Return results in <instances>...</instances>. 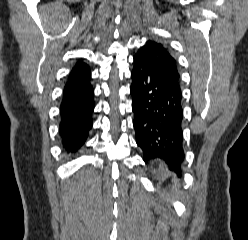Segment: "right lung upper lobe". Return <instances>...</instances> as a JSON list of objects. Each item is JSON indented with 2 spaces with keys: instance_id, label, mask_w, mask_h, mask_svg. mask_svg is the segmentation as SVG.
Returning <instances> with one entry per match:
<instances>
[{
  "instance_id": "obj_1",
  "label": "right lung upper lobe",
  "mask_w": 248,
  "mask_h": 240,
  "mask_svg": "<svg viewBox=\"0 0 248 240\" xmlns=\"http://www.w3.org/2000/svg\"><path fill=\"white\" fill-rule=\"evenodd\" d=\"M87 69H88V65L86 63L77 62L76 65L72 68L69 77L79 74Z\"/></svg>"
}]
</instances>
